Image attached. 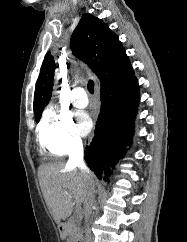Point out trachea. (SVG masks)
<instances>
[{"label": "trachea", "instance_id": "1", "mask_svg": "<svg viewBox=\"0 0 187 242\" xmlns=\"http://www.w3.org/2000/svg\"><path fill=\"white\" fill-rule=\"evenodd\" d=\"M88 91L93 94L94 93V82L90 80L87 85Z\"/></svg>", "mask_w": 187, "mask_h": 242}]
</instances>
